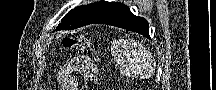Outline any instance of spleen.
I'll return each instance as SVG.
<instances>
[{"label": "spleen", "mask_w": 216, "mask_h": 90, "mask_svg": "<svg viewBox=\"0 0 216 90\" xmlns=\"http://www.w3.org/2000/svg\"><path fill=\"white\" fill-rule=\"evenodd\" d=\"M115 44H117L118 52L122 58L121 62H123L127 72H136L140 76L147 74L152 56L142 44L130 42V40H121Z\"/></svg>", "instance_id": "obj_1"}]
</instances>
